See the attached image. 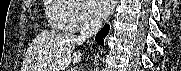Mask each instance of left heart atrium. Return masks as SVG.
<instances>
[{
    "label": "left heart atrium",
    "mask_w": 181,
    "mask_h": 71,
    "mask_svg": "<svg viewBox=\"0 0 181 71\" xmlns=\"http://www.w3.org/2000/svg\"><path fill=\"white\" fill-rule=\"evenodd\" d=\"M88 3L98 17L107 16L114 6V1L112 0H89Z\"/></svg>",
    "instance_id": "39dd6f15"
}]
</instances>
